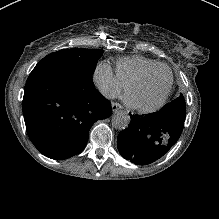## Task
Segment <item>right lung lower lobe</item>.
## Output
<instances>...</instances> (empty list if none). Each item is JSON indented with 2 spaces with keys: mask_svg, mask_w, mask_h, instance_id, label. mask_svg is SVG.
<instances>
[{
  "mask_svg": "<svg viewBox=\"0 0 219 219\" xmlns=\"http://www.w3.org/2000/svg\"><path fill=\"white\" fill-rule=\"evenodd\" d=\"M92 74L69 61L35 67L23 97L27 133L47 157L66 159L84 149L91 126L111 114Z\"/></svg>",
  "mask_w": 219,
  "mask_h": 219,
  "instance_id": "right-lung-lower-lobe-1",
  "label": "right lung lower lobe"
}]
</instances>
